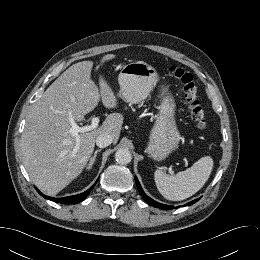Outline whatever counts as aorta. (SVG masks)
<instances>
[{
	"instance_id": "762f6f07",
	"label": "aorta",
	"mask_w": 260,
	"mask_h": 260,
	"mask_svg": "<svg viewBox=\"0 0 260 260\" xmlns=\"http://www.w3.org/2000/svg\"><path fill=\"white\" fill-rule=\"evenodd\" d=\"M115 159L118 164L126 165L131 162L132 154L127 148H120L115 153Z\"/></svg>"
}]
</instances>
